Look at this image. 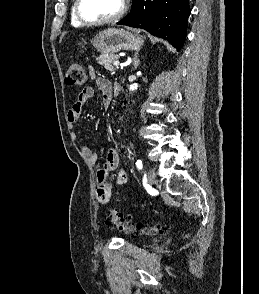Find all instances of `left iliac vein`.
<instances>
[{
  "label": "left iliac vein",
  "instance_id": "4c4485c4",
  "mask_svg": "<svg viewBox=\"0 0 259 294\" xmlns=\"http://www.w3.org/2000/svg\"><path fill=\"white\" fill-rule=\"evenodd\" d=\"M147 180L149 185H153L156 181V171L153 168H150L147 175Z\"/></svg>",
  "mask_w": 259,
  "mask_h": 294
}]
</instances>
